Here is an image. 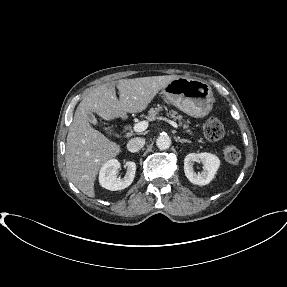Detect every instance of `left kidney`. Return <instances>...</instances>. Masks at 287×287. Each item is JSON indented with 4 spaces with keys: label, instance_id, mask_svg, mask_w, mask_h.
<instances>
[{
    "label": "left kidney",
    "instance_id": "left-kidney-1",
    "mask_svg": "<svg viewBox=\"0 0 287 287\" xmlns=\"http://www.w3.org/2000/svg\"><path fill=\"white\" fill-rule=\"evenodd\" d=\"M200 161L203 164L201 173L194 172L193 164ZM220 166L219 158L211 153H190L184 159V172L187 179L196 185H206L214 178L216 171Z\"/></svg>",
    "mask_w": 287,
    "mask_h": 287
}]
</instances>
